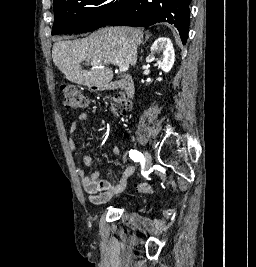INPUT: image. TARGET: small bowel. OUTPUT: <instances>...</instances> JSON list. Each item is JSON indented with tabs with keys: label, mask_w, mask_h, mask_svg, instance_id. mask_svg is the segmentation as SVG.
I'll return each instance as SVG.
<instances>
[{
	"label": "small bowel",
	"mask_w": 256,
	"mask_h": 267,
	"mask_svg": "<svg viewBox=\"0 0 256 267\" xmlns=\"http://www.w3.org/2000/svg\"><path fill=\"white\" fill-rule=\"evenodd\" d=\"M86 119L87 115L85 113L80 114L77 119L70 124V134H75L77 132L79 122ZM68 146L71 151L79 153L77 144L73 138L68 140ZM112 153L113 155H119L121 153V148L119 146H114ZM80 156L82 163L88 166L95 165V161L92 158L81 153ZM75 169L84 191L90 196V200L93 204L105 203L114 195L123 191L128 178L135 173V166L130 165L121 172L117 184H112L106 179H98L97 171H88L80 162H76Z\"/></svg>",
	"instance_id": "1"
}]
</instances>
